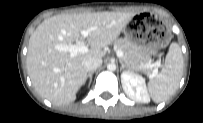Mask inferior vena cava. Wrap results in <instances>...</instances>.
I'll list each match as a JSON object with an SVG mask.
<instances>
[{
    "label": "inferior vena cava",
    "mask_w": 203,
    "mask_h": 123,
    "mask_svg": "<svg viewBox=\"0 0 203 123\" xmlns=\"http://www.w3.org/2000/svg\"><path fill=\"white\" fill-rule=\"evenodd\" d=\"M102 65L101 58H89L84 62V67L88 72L95 71Z\"/></svg>",
    "instance_id": "inferior-vena-cava-1"
}]
</instances>
